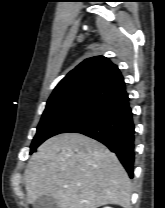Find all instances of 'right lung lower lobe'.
<instances>
[{"label": "right lung lower lobe", "instance_id": "obj_1", "mask_svg": "<svg viewBox=\"0 0 165 208\" xmlns=\"http://www.w3.org/2000/svg\"><path fill=\"white\" fill-rule=\"evenodd\" d=\"M67 132L81 133L106 145L133 178L135 131L125 90L97 103L85 117L62 133Z\"/></svg>", "mask_w": 165, "mask_h": 208}]
</instances>
